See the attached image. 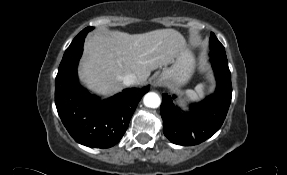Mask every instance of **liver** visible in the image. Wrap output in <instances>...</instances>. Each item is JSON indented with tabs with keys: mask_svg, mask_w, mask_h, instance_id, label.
<instances>
[{
	"mask_svg": "<svg viewBox=\"0 0 287 175\" xmlns=\"http://www.w3.org/2000/svg\"><path fill=\"white\" fill-rule=\"evenodd\" d=\"M184 44L185 38L174 29L96 33L84 44L79 76L94 92L110 96L122 90L127 74H135L137 84H144L153 70L171 64Z\"/></svg>",
	"mask_w": 287,
	"mask_h": 175,
	"instance_id": "obj_1",
	"label": "liver"
}]
</instances>
